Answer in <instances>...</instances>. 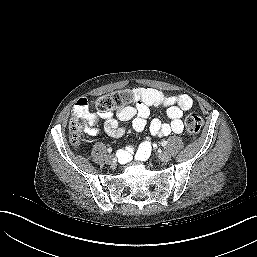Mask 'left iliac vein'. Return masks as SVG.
Returning <instances> with one entry per match:
<instances>
[{
  "label": "left iliac vein",
  "mask_w": 257,
  "mask_h": 257,
  "mask_svg": "<svg viewBox=\"0 0 257 257\" xmlns=\"http://www.w3.org/2000/svg\"><path fill=\"white\" fill-rule=\"evenodd\" d=\"M158 158L161 162H168L171 159V155L169 152L164 151L159 153Z\"/></svg>",
  "instance_id": "1"
}]
</instances>
